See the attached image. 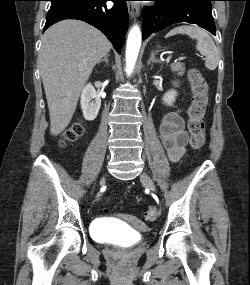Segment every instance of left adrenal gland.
Here are the masks:
<instances>
[{"instance_id": "a2214340", "label": "left adrenal gland", "mask_w": 250, "mask_h": 285, "mask_svg": "<svg viewBox=\"0 0 250 285\" xmlns=\"http://www.w3.org/2000/svg\"><path fill=\"white\" fill-rule=\"evenodd\" d=\"M151 63H162L161 60L156 59L154 52L151 53L150 58L148 60V65H150Z\"/></svg>"}]
</instances>
